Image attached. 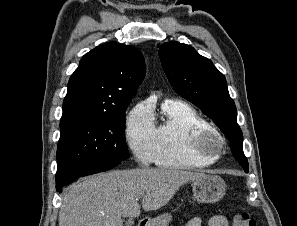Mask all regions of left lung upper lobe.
<instances>
[{"instance_id": "obj_1", "label": "left lung upper lobe", "mask_w": 297, "mask_h": 226, "mask_svg": "<svg viewBox=\"0 0 297 226\" xmlns=\"http://www.w3.org/2000/svg\"><path fill=\"white\" fill-rule=\"evenodd\" d=\"M160 60L174 90L199 107L231 142L234 158L248 172L243 153V135L237 124V112L230 97L225 76L211 60L189 45L168 42L160 46Z\"/></svg>"}]
</instances>
